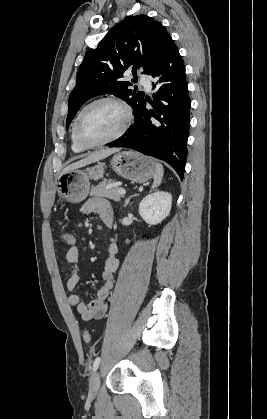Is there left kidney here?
<instances>
[{
	"label": "left kidney",
	"instance_id": "left-kidney-1",
	"mask_svg": "<svg viewBox=\"0 0 267 419\" xmlns=\"http://www.w3.org/2000/svg\"><path fill=\"white\" fill-rule=\"evenodd\" d=\"M171 206L170 193L155 192L143 198L139 205V214L148 224L157 225L169 215Z\"/></svg>",
	"mask_w": 267,
	"mask_h": 419
}]
</instances>
